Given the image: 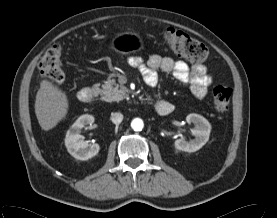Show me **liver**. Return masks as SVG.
Returning <instances> with one entry per match:
<instances>
[{
	"label": "liver",
	"instance_id": "1",
	"mask_svg": "<svg viewBox=\"0 0 277 218\" xmlns=\"http://www.w3.org/2000/svg\"><path fill=\"white\" fill-rule=\"evenodd\" d=\"M66 94L48 80H42L35 100V114L45 131L54 128L68 112Z\"/></svg>",
	"mask_w": 277,
	"mask_h": 218
}]
</instances>
